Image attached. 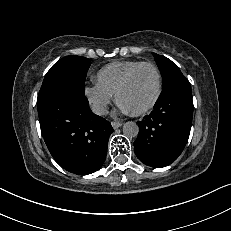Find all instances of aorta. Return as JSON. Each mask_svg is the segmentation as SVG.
<instances>
[{"mask_svg":"<svg viewBox=\"0 0 231 231\" xmlns=\"http://www.w3.org/2000/svg\"><path fill=\"white\" fill-rule=\"evenodd\" d=\"M139 133L138 125L133 121H128L123 125V134L128 138H134Z\"/></svg>","mask_w":231,"mask_h":231,"instance_id":"762f6f07","label":"aorta"}]
</instances>
